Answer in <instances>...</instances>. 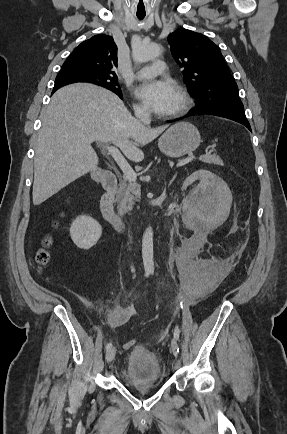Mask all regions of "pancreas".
<instances>
[{
	"label": "pancreas",
	"mask_w": 287,
	"mask_h": 434,
	"mask_svg": "<svg viewBox=\"0 0 287 434\" xmlns=\"http://www.w3.org/2000/svg\"><path fill=\"white\" fill-rule=\"evenodd\" d=\"M200 161L208 164H216L223 165L222 160L219 156L216 155H203L200 157ZM140 197V191L138 189V185L136 183H127V179H123V181L119 184L118 191V212L123 215L131 210L132 205L135 204L137 198Z\"/></svg>",
	"instance_id": "cf45deb5"
}]
</instances>
